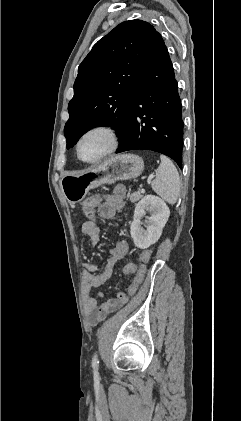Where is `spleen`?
<instances>
[{
	"mask_svg": "<svg viewBox=\"0 0 241 421\" xmlns=\"http://www.w3.org/2000/svg\"><path fill=\"white\" fill-rule=\"evenodd\" d=\"M160 159L161 164L156 170V178L151 182V187L163 200L173 205L180 192L179 174L169 158L161 155Z\"/></svg>",
	"mask_w": 241,
	"mask_h": 421,
	"instance_id": "obj_1",
	"label": "spleen"
}]
</instances>
